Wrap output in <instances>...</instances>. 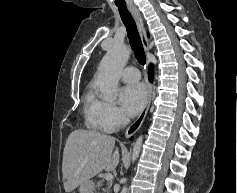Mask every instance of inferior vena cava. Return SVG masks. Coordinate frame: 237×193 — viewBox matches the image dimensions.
Masks as SVG:
<instances>
[{
  "mask_svg": "<svg viewBox=\"0 0 237 193\" xmlns=\"http://www.w3.org/2000/svg\"><path fill=\"white\" fill-rule=\"evenodd\" d=\"M127 122H128V119L125 118V117H123V118H122V123H123V124H126Z\"/></svg>",
  "mask_w": 237,
  "mask_h": 193,
  "instance_id": "602c4592",
  "label": "inferior vena cava"
}]
</instances>
